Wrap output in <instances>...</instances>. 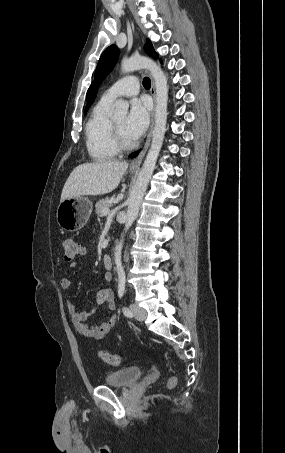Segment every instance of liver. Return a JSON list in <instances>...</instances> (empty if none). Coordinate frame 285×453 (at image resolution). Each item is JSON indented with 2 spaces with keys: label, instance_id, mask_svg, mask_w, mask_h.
Here are the masks:
<instances>
[{
  "label": "liver",
  "instance_id": "1",
  "mask_svg": "<svg viewBox=\"0 0 285 453\" xmlns=\"http://www.w3.org/2000/svg\"><path fill=\"white\" fill-rule=\"evenodd\" d=\"M128 168L125 161H99L77 166L68 177L60 202L85 195H104L113 191Z\"/></svg>",
  "mask_w": 285,
  "mask_h": 453
}]
</instances>
